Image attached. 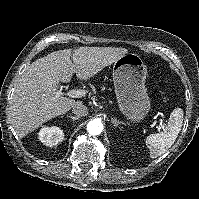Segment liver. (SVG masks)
Masks as SVG:
<instances>
[{
  "label": "liver",
  "instance_id": "obj_1",
  "mask_svg": "<svg viewBox=\"0 0 199 199\" xmlns=\"http://www.w3.org/2000/svg\"><path fill=\"white\" fill-rule=\"evenodd\" d=\"M127 52L125 48L79 47L72 56V49L59 50L30 64L11 100L10 116L18 136L24 137L76 104L58 90L59 82H70L74 73L80 80H89Z\"/></svg>",
  "mask_w": 199,
  "mask_h": 199
}]
</instances>
